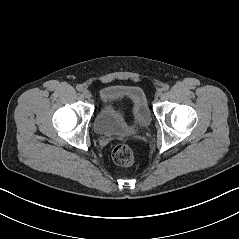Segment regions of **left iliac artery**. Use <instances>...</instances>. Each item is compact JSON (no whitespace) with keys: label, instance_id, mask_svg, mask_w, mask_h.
<instances>
[{"label":"left iliac artery","instance_id":"left-iliac-artery-1","mask_svg":"<svg viewBox=\"0 0 239 239\" xmlns=\"http://www.w3.org/2000/svg\"><path fill=\"white\" fill-rule=\"evenodd\" d=\"M169 89V85L168 84H165L164 86H163V90L164 91H167Z\"/></svg>","mask_w":239,"mask_h":239}]
</instances>
